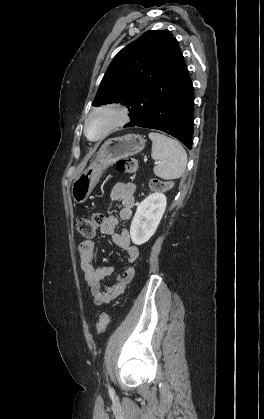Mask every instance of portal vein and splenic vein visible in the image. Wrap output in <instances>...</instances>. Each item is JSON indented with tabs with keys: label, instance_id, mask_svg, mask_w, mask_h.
Instances as JSON below:
<instances>
[{
	"label": "portal vein and splenic vein",
	"instance_id": "portal-vein-and-splenic-vein-1",
	"mask_svg": "<svg viewBox=\"0 0 264 419\" xmlns=\"http://www.w3.org/2000/svg\"><path fill=\"white\" fill-rule=\"evenodd\" d=\"M144 161H147V158L146 157L144 158ZM155 164H158V162H155Z\"/></svg>",
	"mask_w": 264,
	"mask_h": 419
}]
</instances>
